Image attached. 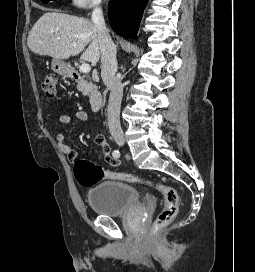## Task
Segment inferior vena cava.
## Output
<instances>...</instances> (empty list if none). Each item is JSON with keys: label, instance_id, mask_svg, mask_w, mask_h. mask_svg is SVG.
Segmentation results:
<instances>
[{"label": "inferior vena cava", "instance_id": "602c4592", "mask_svg": "<svg viewBox=\"0 0 255 272\" xmlns=\"http://www.w3.org/2000/svg\"><path fill=\"white\" fill-rule=\"evenodd\" d=\"M91 20L96 28L101 51V77L110 90L108 102V127L111 134L122 133L120 124V108L123 96L121 80L116 77L117 60L116 46L114 45L109 30L106 27L103 11L96 5L92 11Z\"/></svg>", "mask_w": 255, "mask_h": 272}]
</instances>
